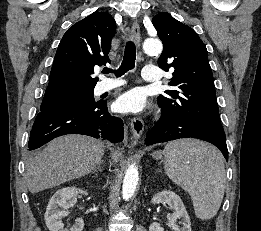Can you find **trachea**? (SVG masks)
<instances>
[{
    "mask_svg": "<svg viewBox=\"0 0 261 231\" xmlns=\"http://www.w3.org/2000/svg\"><path fill=\"white\" fill-rule=\"evenodd\" d=\"M135 59H136V46L134 42L128 41L126 43L123 61L121 63L120 68L117 71H114L116 77H120L125 74L127 71L134 69L135 67ZM113 73L111 69L104 68L102 73Z\"/></svg>",
    "mask_w": 261,
    "mask_h": 231,
    "instance_id": "1",
    "label": "trachea"
}]
</instances>
